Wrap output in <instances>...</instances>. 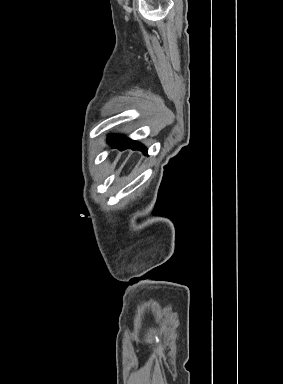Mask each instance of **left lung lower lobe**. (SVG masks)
Masks as SVG:
<instances>
[{"mask_svg":"<svg viewBox=\"0 0 283 384\" xmlns=\"http://www.w3.org/2000/svg\"><path fill=\"white\" fill-rule=\"evenodd\" d=\"M109 142H111L112 147L119 148L120 150L131 148L133 150H141L144 154H147L146 148L143 147L140 143H137L125 137H119L114 135L109 139Z\"/></svg>","mask_w":283,"mask_h":384,"instance_id":"1","label":"left lung lower lobe"}]
</instances>
